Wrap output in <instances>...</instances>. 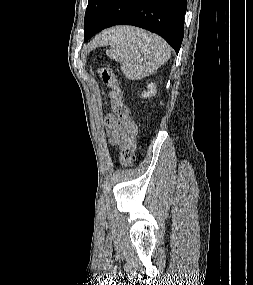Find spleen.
Segmentation results:
<instances>
[{
    "label": "spleen",
    "mask_w": 253,
    "mask_h": 285,
    "mask_svg": "<svg viewBox=\"0 0 253 285\" xmlns=\"http://www.w3.org/2000/svg\"><path fill=\"white\" fill-rule=\"evenodd\" d=\"M107 55L122 63L121 70L129 80H141L152 74L170 58L169 45L160 36L140 28L123 27L106 36Z\"/></svg>",
    "instance_id": "obj_1"
}]
</instances>
